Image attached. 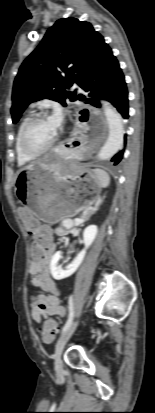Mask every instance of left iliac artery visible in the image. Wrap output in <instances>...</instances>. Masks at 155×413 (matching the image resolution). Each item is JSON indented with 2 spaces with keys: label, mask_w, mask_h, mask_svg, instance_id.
<instances>
[{
  "label": "left iliac artery",
  "mask_w": 155,
  "mask_h": 413,
  "mask_svg": "<svg viewBox=\"0 0 155 413\" xmlns=\"http://www.w3.org/2000/svg\"><path fill=\"white\" fill-rule=\"evenodd\" d=\"M73 299H72V296H70V298H69V309H70V312H69V316H68V320L66 321V323H65V325H64V327H63V329H62V332H65L70 326H71V324H72V322H73V317H74V313H73Z\"/></svg>",
  "instance_id": "left-iliac-artery-1"
}]
</instances>
